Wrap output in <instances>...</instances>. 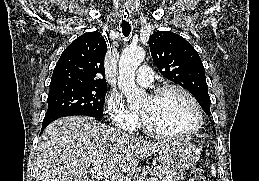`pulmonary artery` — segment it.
<instances>
[{
  "mask_svg": "<svg viewBox=\"0 0 259 181\" xmlns=\"http://www.w3.org/2000/svg\"><path fill=\"white\" fill-rule=\"evenodd\" d=\"M138 84L142 86H151L153 84V71L147 66H142L139 70V73L136 77Z\"/></svg>",
  "mask_w": 259,
  "mask_h": 181,
  "instance_id": "obj_1",
  "label": "pulmonary artery"
}]
</instances>
